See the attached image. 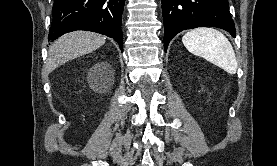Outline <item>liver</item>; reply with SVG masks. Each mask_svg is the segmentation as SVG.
<instances>
[{
	"label": "liver",
	"mask_w": 277,
	"mask_h": 166,
	"mask_svg": "<svg viewBox=\"0 0 277 166\" xmlns=\"http://www.w3.org/2000/svg\"><path fill=\"white\" fill-rule=\"evenodd\" d=\"M106 37L89 31H75L58 38L49 48L46 71L50 73L69 60L91 53L104 45Z\"/></svg>",
	"instance_id": "6515ba94"
}]
</instances>
